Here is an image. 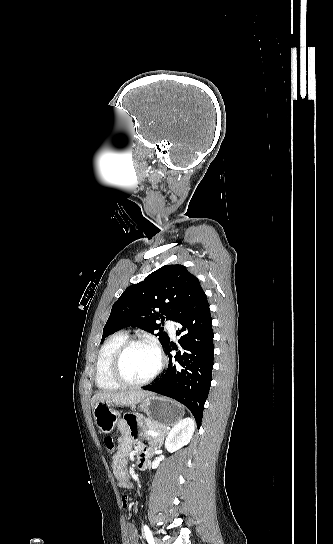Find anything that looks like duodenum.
<instances>
[{
  "label": "duodenum",
  "mask_w": 333,
  "mask_h": 544,
  "mask_svg": "<svg viewBox=\"0 0 333 544\" xmlns=\"http://www.w3.org/2000/svg\"><path fill=\"white\" fill-rule=\"evenodd\" d=\"M148 454L144 451H141L138 455V459H137V467L138 469L140 470H144L146 469V467L148 466Z\"/></svg>",
  "instance_id": "1"
}]
</instances>
